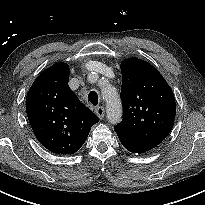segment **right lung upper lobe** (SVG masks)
Listing matches in <instances>:
<instances>
[{
    "label": "right lung upper lobe",
    "mask_w": 205,
    "mask_h": 205,
    "mask_svg": "<svg viewBox=\"0 0 205 205\" xmlns=\"http://www.w3.org/2000/svg\"><path fill=\"white\" fill-rule=\"evenodd\" d=\"M68 80V64L56 63L36 78L26 97V112L36 138L49 151L62 155L77 152L99 121L78 100Z\"/></svg>",
    "instance_id": "1"
}]
</instances>
